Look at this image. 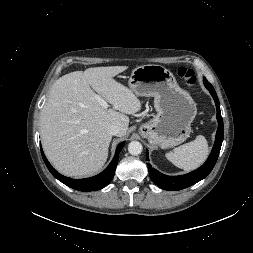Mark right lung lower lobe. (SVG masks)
Returning <instances> with one entry per match:
<instances>
[{
	"label": "right lung lower lobe",
	"instance_id": "obj_1",
	"mask_svg": "<svg viewBox=\"0 0 253 253\" xmlns=\"http://www.w3.org/2000/svg\"><path fill=\"white\" fill-rule=\"evenodd\" d=\"M124 144L125 142H122L118 145L113 160L102 173L94 177L86 178V179H71L59 174L46 159L41 146L40 148H41L42 158L47 168L49 169V171L55 178H57L59 181H61L62 183H64L65 185L73 189L83 191V192H90V191L100 190L111 182L115 173L117 163H118L119 153L121 149L123 148Z\"/></svg>",
	"mask_w": 253,
	"mask_h": 253
}]
</instances>
